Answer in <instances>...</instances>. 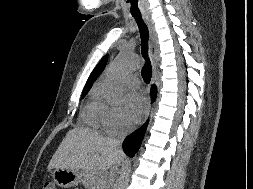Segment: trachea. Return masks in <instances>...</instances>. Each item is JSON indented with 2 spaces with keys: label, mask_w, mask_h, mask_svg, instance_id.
I'll list each match as a JSON object with an SVG mask.
<instances>
[{
  "label": "trachea",
  "mask_w": 253,
  "mask_h": 189,
  "mask_svg": "<svg viewBox=\"0 0 253 189\" xmlns=\"http://www.w3.org/2000/svg\"><path fill=\"white\" fill-rule=\"evenodd\" d=\"M133 17L135 18L139 27V32H140V37H141V46H142V56L145 59V64L142 67L141 74L145 83L149 84L151 80V68H152L151 62L148 57L149 32L140 14H133Z\"/></svg>",
  "instance_id": "obj_1"
}]
</instances>
